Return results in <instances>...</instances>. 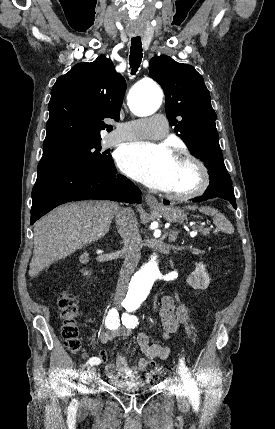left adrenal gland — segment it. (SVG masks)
Returning <instances> with one entry per match:
<instances>
[{
    "mask_svg": "<svg viewBox=\"0 0 275 429\" xmlns=\"http://www.w3.org/2000/svg\"><path fill=\"white\" fill-rule=\"evenodd\" d=\"M178 231H170L169 232V242H175L177 239Z\"/></svg>",
    "mask_w": 275,
    "mask_h": 429,
    "instance_id": "obj_1",
    "label": "left adrenal gland"
}]
</instances>
